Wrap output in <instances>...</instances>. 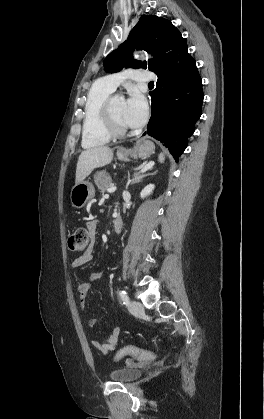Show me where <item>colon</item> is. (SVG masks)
Masks as SVG:
<instances>
[{"label": "colon", "instance_id": "obj_1", "mask_svg": "<svg viewBox=\"0 0 264 419\" xmlns=\"http://www.w3.org/2000/svg\"><path fill=\"white\" fill-rule=\"evenodd\" d=\"M88 243L89 232L84 227L75 229L68 239L69 248L74 252H86L88 249ZM124 357H133L140 361H148L154 359L156 357V353L128 345L119 349L115 353L114 359L120 360Z\"/></svg>", "mask_w": 264, "mask_h": 419}]
</instances>
